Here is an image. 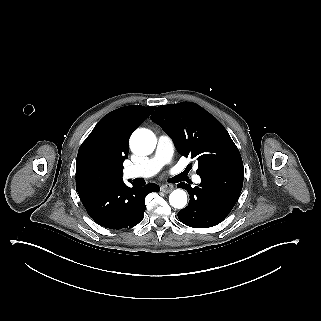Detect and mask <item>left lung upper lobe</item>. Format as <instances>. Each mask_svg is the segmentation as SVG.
I'll return each instance as SVG.
<instances>
[{
    "label": "left lung upper lobe",
    "mask_w": 321,
    "mask_h": 321,
    "mask_svg": "<svg viewBox=\"0 0 321 321\" xmlns=\"http://www.w3.org/2000/svg\"><path fill=\"white\" fill-rule=\"evenodd\" d=\"M150 119L172 138L182 156L197 159L198 175L221 166L243 164L224 126L195 103L161 105Z\"/></svg>",
    "instance_id": "left-lung-upper-lobe-1"
}]
</instances>
